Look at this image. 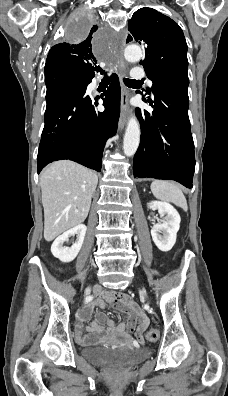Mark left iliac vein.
Returning <instances> with one entry per match:
<instances>
[{"label": "left iliac vein", "instance_id": "left-iliac-vein-1", "mask_svg": "<svg viewBox=\"0 0 228 396\" xmlns=\"http://www.w3.org/2000/svg\"><path fill=\"white\" fill-rule=\"evenodd\" d=\"M139 293H140L141 296L147 297V294H146V292L144 290H140Z\"/></svg>", "mask_w": 228, "mask_h": 396}]
</instances>
